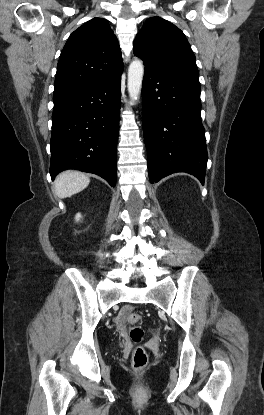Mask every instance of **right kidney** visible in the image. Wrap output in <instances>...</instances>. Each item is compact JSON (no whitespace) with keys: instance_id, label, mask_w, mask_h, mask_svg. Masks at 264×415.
Returning a JSON list of instances; mask_svg holds the SVG:
<instances>
[{"instance_id":"right-kidney-1","label":"right kidney","mask_w":264,"mask_h":415,"mask_svg":"<svg viewBox=\"0 0 264 415\" xmlns=\"http://www.w3.org/2000/svg\"><path fill=\"white\" fill-rule=\"evenodd\" d=\"M80 217H81V215L80 214H77L76 215V220L78 221L80 219Z\"/></svg>"}]
</instances>
